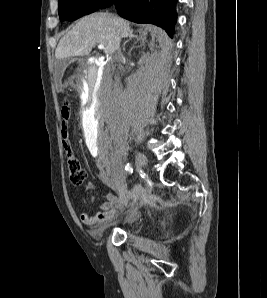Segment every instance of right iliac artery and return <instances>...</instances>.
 I'll return each mask as SVG.
<instances>
[{
    "mask_svg": "<svg viewBox=\"0 0 267 298\" xmlns=\"http://www.w3.org/2000/svg\"><path fill=\"white\" fill-rule=\"evenodd\" d=\"M126 170H128L129 171V173H133V169L131 168V167H126Z\"/></svg>",
    "mask_w": 267,
    "mask_h": 298,
    "instance_id": "obj_1",
    "label": "right iliac artery"
}]
</instances>
